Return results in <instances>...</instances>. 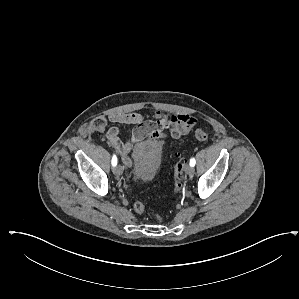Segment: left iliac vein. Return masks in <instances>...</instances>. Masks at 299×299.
<instances>
[{"label":"left iliac vein","mask_w":299,"mask_h":299,"mask_svg":"<svg viewBox=\"0 0 299 299\" xmlns=\"http://www.w3.org/2000/svg\"><path fill=\"white\" fill-rule=\"evenodd\" d=\"M185 172H186V174H193V172H194V168L191 166V165H186L185 166Z\"/></svg>","instance_id":"left-iliac-vein-1"}]
</instances>
